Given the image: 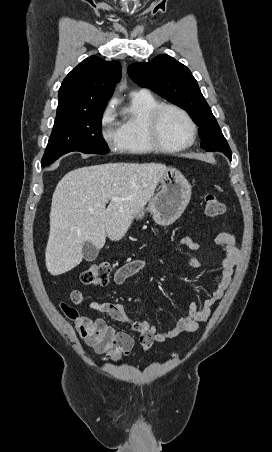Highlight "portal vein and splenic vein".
<instances>
[{
    "mask_svg": "<svg viewBox=\"0 0 272 452\" xmlns=\"http://www.w3.org/2000/svg\"><path fill=\"white\" fill-rule=\"evenodd\" d=\"M113 201H120L121 199L120 198H116V197H114V198H111Z\"/></svg>",
    "mask_w": 272,
    "mask_h": 452,
    "instance_id": "portal-vein-and-splenic-vein-1",
    "label": "portal vein and splenic vein"
}]
</instances>
